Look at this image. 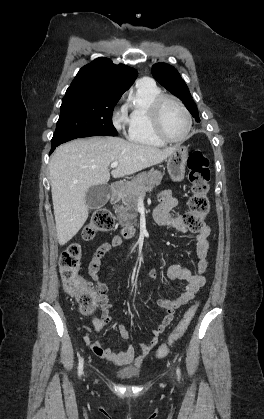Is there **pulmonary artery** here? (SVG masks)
Returning <instances> with one entry per match:
<instances>
[{"instance_id":"e3ab8cb5","label":"pulmonary artery","mask_w":264,"mask_h":419,"mask_svg":"<svg viewBox=\"0 0 264 419\" xmlns=\"http://www.w3.org/2000/svg\"><path fill=\"white\" fill-rule=\"evenodd\" d=\"M140 81H151V80L148 78H142Z\"/></svg>"}]
</instances>
